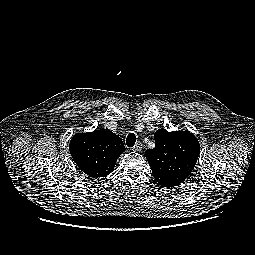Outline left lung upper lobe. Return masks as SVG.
Instances as JSON below:
<instances>
[{"label": "left lung upper lobe", "mask_w": 255, "mask_h": 255, "mask_svg": "<svg viewBox=\"0 0 255 255\" xmlns=\"http://www.w3.org/2000/svg\"><path fill=\"white\" fill-rule=\"evenodd\" d=\"M155 148L147 149L146 159L152 174L162 187L182 183L193 171L200 153L197 138L189 131L168 132L158 129Z\"/></svg>", "instance_id": "left-lung-upper-lobe-1"}]
</instances>
